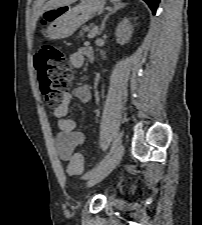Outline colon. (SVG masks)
Masks as SVG:
<instances>
[{
  "instance_id": "colon-1",
  "label": "colon",
  "mask_w": 202,
  "mask_h": 225,
  "mask_svg": "<svg viewBox=\"0 0 202 225\" xmlns=\"http://www.w3.org/2000/svg\"><path fill=\"white\" fill-rule=\"evenodd\" d=\"M36 61L44 102L54 109L61 104L64 94L70 88L73 78L72 68L61 50L50 45L39 49ZM79 169V159H73L68 165L70 174H76Z\"/></svg>"
}]
</instances>
